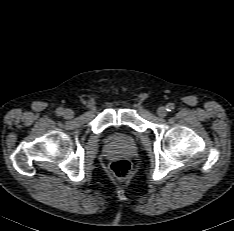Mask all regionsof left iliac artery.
<instances>
[{
    "instance_id": "obj_1",
    "label": "left iliac artery",
    "mask_w": 234,
    "mask_h": 231,
    "mask_svg": "<svg viewBox=\"0 0 234 231\" xmlns=\"http://www.w3.org/2000/svg\"><path fill=\"white\" fill-rule=\"evenodd\" d=\"M171 109H173V106H172V105L169 106V109H168V110L171 111Z\"/></svg>"
}]
</instances>
